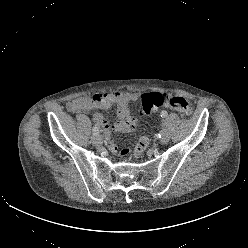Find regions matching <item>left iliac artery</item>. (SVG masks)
<instances>
[{
	"label": "left iliac artery",
	"instance_id": "1",
	"mask_svg": "<svg viewBox=\"0 0 248 248\" xmlns=\"http://www.w3.org/2000/svg\"><path fill=\"white\" fill-rule=\"evenodd\" d=\"M168 115L167 111H162L161 112V117L165 118ZM164 133V129L160 131L159 137H161Z\"/></svg>",
	"mask_w": 248,
	"mask_h": 248
}]
</instances>
